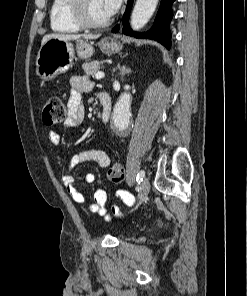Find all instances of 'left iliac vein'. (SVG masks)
<instances>
[{
	"mask_svg": "<svg viewBox=\"0 0 247 296\" xmlns=\"http://www.w3.org/2000/svg\"><path fill=\"white\" fill-rule=\"evenodd\" d=\"M149 190H150V182L147 178H145L141 183V192L139 193V201L140 202L149 193Z\"/></svg>",
	"mask_w": 247,
	"mask_h": 296,
	"instance_id": "1",
	"label": "left iliac vein"
}]
</instances>
